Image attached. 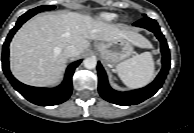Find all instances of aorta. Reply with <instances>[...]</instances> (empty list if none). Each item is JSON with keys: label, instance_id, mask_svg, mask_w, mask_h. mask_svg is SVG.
I'll return each instance as SVG.
<instances>
[{"label": "aorta", "instance_id": "762f6f07", "mask_svg": "<svg viewBox=\"0 0 194 133\" xmlns=\"http://www.w3.org/2000/svg\"><path fill=\"white\" fill-rule=\"evenodd\" d=\"M84 67L87 69H93L96 67L97 65V60L95 57H87L84 61H83Z\"/></svg>", "mask_w": 194, "mask_h": 133}]
</instances>
